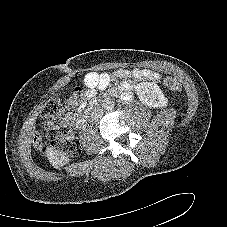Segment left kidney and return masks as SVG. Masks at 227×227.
Segmentation results:
<instances>
[{
	"label": "left kidney",
	"mask_w": 227,
	"mask_h": 227,
	"mask_svg": "<svg viewBox=\"0 0 227 227\" xmlns=\"http://www.w3.org/2000/svg\"><path fill=\"white\" fill-rule=\"evenodd\" d=\"M135 90L140 101L148 107L160 108L168 105V99L156 83L142 82Z\"/></svg>",
	"instance_id": "5707ae66"
}]
</instances>
